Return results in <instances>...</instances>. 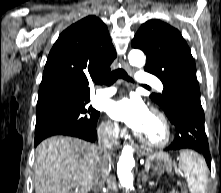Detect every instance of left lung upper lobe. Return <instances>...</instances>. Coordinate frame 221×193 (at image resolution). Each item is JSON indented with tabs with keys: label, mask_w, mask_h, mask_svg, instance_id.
Here are the masks:
<instances>
[{
	"label": "left lung upper lobe",
	"mask_w": 221,
	"mask_h": 193,
	"mask_svg": "<svg viewBox=\"0 0 221 193\" xmlns=\"http://www.w3.org/2000/svg\"><path fill=\"white\" fill-rule=\"evenodd\" d=\"M131 45L145 52L144 70L162 81L163 94H152L150 98L173 121L177 96L190 90L199 91L195 62L187 43L177 29L160 20H149L140 27Z\"/></svg>",
	"instance_id": "1"
}]
</instances>
